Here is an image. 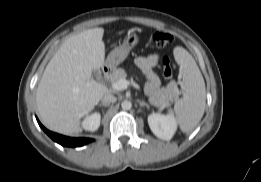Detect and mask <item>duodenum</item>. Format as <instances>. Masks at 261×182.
I'll return each mask as SVG.
<instances>
[{
	"mask_svg": "<svg viewBox=\"0 0 261 182\" xmlns=\"http://www.w3.org/2000/svg\"><path fill=\"white\" fill-rule=\"evenodd\" d=\"M109 73H110V67L109 66H105L103 68V75L105 78H107L109 76Z\"/></svg>",
	"mask_w": 261,
	"mask_h": 182,
	"instance_id": "1",
	"label": "duodenum"
}]
</instances>
